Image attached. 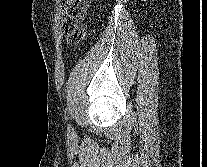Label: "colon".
I'll return each mask as SVG.
<instances>
[{"instance_id": "obj_1", "label": "colon", "mask_w": 207, "mask_h": 167, "mask_svg": "<svg viewBox=\"0 0 207 167\" xmlns=\"http://www.w3.org/2000/svg\"><path fill=\"white\" fill-rule=\"evenodd\" d=\"M90 0H65L63 29L71 43L83 40L85 36L84 20Z\"/></svg>"}]
</instances>
